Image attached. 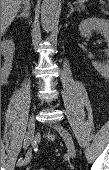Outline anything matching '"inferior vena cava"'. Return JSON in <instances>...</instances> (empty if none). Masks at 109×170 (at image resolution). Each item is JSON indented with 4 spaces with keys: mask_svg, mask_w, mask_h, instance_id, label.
Listing matches in <instances>:
<instances>
[{
    "mask_svg": "<svg viewBox=\"0 0 109 170\" xmlns=\"http://www.w3.org/2000/svg\"><path fill=\"white\" fill-rule=\"evenodd\" d=\"M22 2L24 5H27V6H29V4H30V0H22Z\"/></svg>",
    "mask_w": 109,
    "mask_h": 170,
    "instance_id": "obj_1",
    "label": "inferior vena cava"
}]
</instances>
